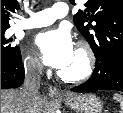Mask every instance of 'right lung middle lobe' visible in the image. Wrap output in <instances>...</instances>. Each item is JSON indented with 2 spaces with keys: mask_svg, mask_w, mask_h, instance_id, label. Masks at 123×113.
Returning <instances> with one entry per match:
<instances>
[{
  "mask_svg": "<svg viewBox=\"0 0 123 113\" xmlns=\"http://www.w3.org/2000/svg\"><path fill=\"white\" fill-rule=\"evenodd\" d=\"M8 28L1 29V59L6 61H16L21 58L20 49L18 46L10 44L12 39L5 37V32Z\"/></svg>",
  "mask_w": 123,
  "mask_h": 113,
  "instance_id": "obj_1",
  "label": "right lung middle lobe"
}]
</instances>
